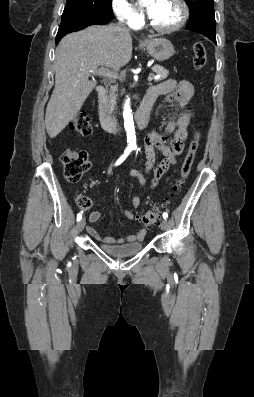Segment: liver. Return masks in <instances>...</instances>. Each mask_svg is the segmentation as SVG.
I'll return each instance as SVG.
<instances>
[{
    "mask_svg": "<svg viewBox=\"0 0 254 397\" xmlns=\"http://www.w3.org/2000/svg\"><path fill=\"white\" fill-rule=\"evenodd\" d=\"M132 57V38L117 26H90L66 35L56 49L55 88L45 114L55 138L77 115L96 86L89 76L99 66L119 71Z\"/></svg>",
    "mask_w": 254,
    "mask_h": 397,
    "instance_id": "liver-1",
    "label": "liver"
}]
</instances>
